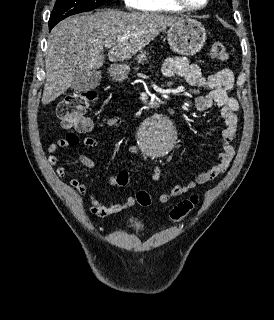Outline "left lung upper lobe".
<instances>
[{
  "label": "left lung upper lobe",
  "instance_id": "1",
  "mask_svg": "<svg viewBox=\"0 0 274 320\" xmlns=\"http://www.w3.org/2000/svg\"><path fill=\"white\" fill-rule=\"evenodd\" d=\"M229 5L232 6V0H227Z\"/></svg>",
  "mask_w": 274,
  "mask_h": 320
}]
</instances>
